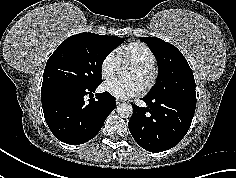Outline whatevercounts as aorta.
I'll return each instance as SVG.
<instances>
[{
    "instance_id": "1",
    "label": "aorta",
    "mask_w": 236,
    "mask_h": 178,
    "mask_svg": "<svg viewBox=\"0 0 236 178\" xmlns=\"http://www.w3.org/2000/svg\"><path fill=\"white\" fill-rule=\"evenodd\" d=\"M117 113L122 117V118H129L131 117L133 113V108L130 104L128 103H121L117 107Z\"/></svg>"
}]
</instances>
